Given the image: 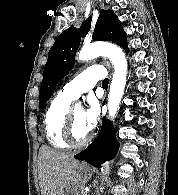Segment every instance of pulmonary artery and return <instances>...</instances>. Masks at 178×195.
<instances>
[{"mask_svg": "<svg viewBox=\"0 0 178 195\" xmlns=\"http://www.w3.org/2000/svg\"><path fill=\"white\" fill-rule=\"evenodd\" d=\"M105 73V68L103 66H91L68 82L60 93L73 101L82 93L91 90L99 80L104 78Z\"/></svg>", "mask_w": 178, "mask_h": 195, "instance_id": "obj_1", "label": "pulmonary artery"}]
</instances>
